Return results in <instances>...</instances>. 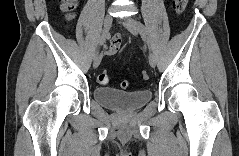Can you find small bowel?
Here are the masks:
<instances>
[{"instance_id": "small-bowel-1", "label": "small bowel", "mask_w": 239, "mask_h": 156, "mask_svg": "<svg viewBox=\"0 0 239 156\" xmlns=\"http://www.w3.org/2000/svg\"><path fill=\"white\" fill-rule=\"evenodd\" d=\"M121 42H122L121 37L119 35L115 36L113 38L108 50H106L105 54L106 55H115L121 46Z\"/></svg>"}]
</instances>
